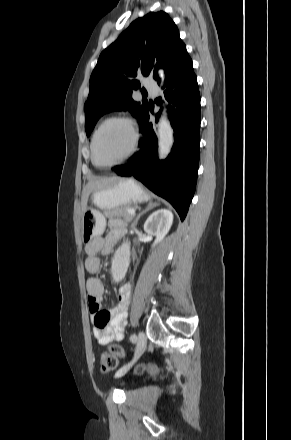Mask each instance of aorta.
<instances>
[{"mask_svg": "<svg viewBox=\"0 0 291 440\" xmlns=\"http://www.w3.org/2000/svg\"><path fill=\"white\" fill-rule=\"evenodd\" d=\"M163 76L162 71H160ZM158 152L159 158L164 159L168 156L174 143L173 129L168 119L163 115L158 123ZM130 242H124L116 251L113 267L114 279L124 276L129 265Z\"/></svg>", "mask_w": 291, "mask_h": 440, "instance_id": "obj_1", "label": "aorta"}]
</instances>
